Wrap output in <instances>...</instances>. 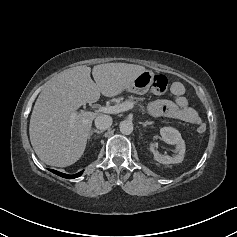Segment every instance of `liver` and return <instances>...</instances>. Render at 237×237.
Here are the masks:
<instances>
[{"label": "liver", "instance_id": "1", "mask_svg": "<svg viewBox=\"0 0 237 237\" xmlns=\"http://www.w3.org/2000/svg\"><path fill=\"white\" fill-rule=\"evenodd\" d=\"M145 67L127 63H106L92 69L85 65L64 70L48 81L39 94L30 119L31 145L47 165L66 167L83 155L92 121L97 114L76 112L86 103L97 102L100 94L113 97Z\"/></svg>", "mask_w": 237, "mask_h": 237}]
</instances>
